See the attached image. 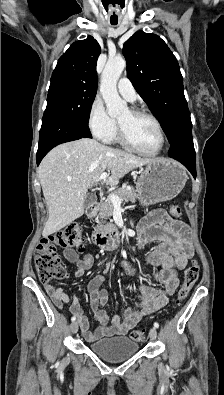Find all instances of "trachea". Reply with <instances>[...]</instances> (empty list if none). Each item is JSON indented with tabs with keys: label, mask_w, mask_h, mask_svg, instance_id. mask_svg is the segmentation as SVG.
Masks as SVG:
<instances>
[{
	"label": "trachea",
	"mask_w": 224,
	"mask_h": 395,
	"mask_svg": "<svg viewBox=\"0 0 224 395\" xmlns=\"http://www.w3.org/2000/svg\"><path fill=\"white\" fill-rule=\"evenodd\" d=\"M117 23H112V25H116Z\"/></svg>",
	"instance_id": "1"
}]
</instances>
